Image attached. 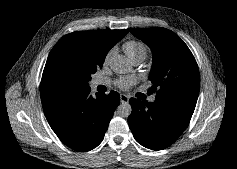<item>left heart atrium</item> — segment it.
I'll list each match as a JSON object with an SVG mask.
<instances>
[{"label": "left heart atrium", "mask_w": 237, "mask_h": 169, "mask_svg": "<svg viewBox=\"0 0 237 169\" xmlns=\"http://www.w3.org/2000/svg\"><path fill=\"white\" fill-rule=\"evenodd\" d=\"M134 82L135 78L133 76H125L118 79L116 84L122 89H127L132 86Z\"/></svg>", "instance_id": "obj_1"}]
</instances>
